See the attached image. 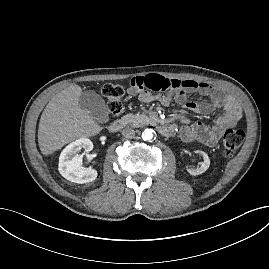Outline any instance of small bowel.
Wrapping results in <instances>:
<instances>
[{
    "mask_svg": "<svg viewBox=\"0 0 269 269\" xmlns=\"http://www.w3.org/2000/svg\"><path fill=\"white\" fill-rule=\"evenodd\" d=\"M151 92L165 104H172L175 99L185 109L194 113L207 115L218 108L223 110L212 126L201 122L183 126L180 130V138L185 142H199L214 146L223 132L235 126L242 116L241 108L235 99L207 83H198L191 79L175 80L159 75L132 78L130 94L137 95L143 102H149L153 99ZM195 92L204 97V100L187 101V94Z\"/></svg>",
    "mask_w": 269,
    "mask_h": 269,
    "instance_id": "c3829d8e",
    "label": "small bowel"
}]
</instances>
